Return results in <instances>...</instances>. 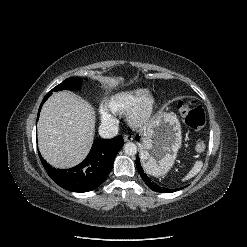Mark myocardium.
Segmentation results:
<instances>
[{
    "instance_id": "obj_1",
    "label": "myocardium",
    "mask_w": 247,
    "mask_h": 247,
    "mask_svg": "<svg viewBox=\"0 0 247 247\" xmlns=\"http://www.w3.org/2000/svg\"><path fill=\"white\" fill-rule=\"evenodd\" d=\"M156 107V97L147 93L127 111L126 118L129 125L134 128L145 126L153 117Z\"/></svg>"
}]
</instances>
